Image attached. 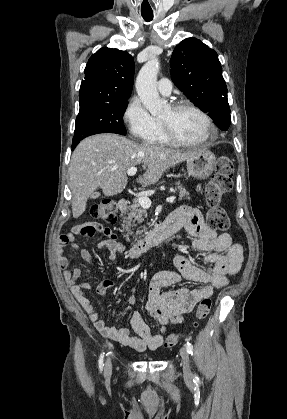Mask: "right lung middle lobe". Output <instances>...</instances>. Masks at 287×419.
I'll return each instance as SVG.
<instances>
[{
  "mask_svg": "<svg viewBox=\"0 0 287 419\" xmlns=\"http://www.w3.org/2000/svg\"><path fill=\"white\" fill-rule=\"evenodd\" d=\"M128 101L105 103L80 110L75 121L72 149L87 136L98 133L126 135L123 115Z\"/></svg>",
  "mask_w": 287,
  "mask_h": 419,
  "instance_id": "obj_1",
  "label": "right lung middle lobe"
}]
</instances>
